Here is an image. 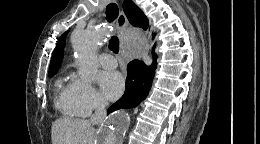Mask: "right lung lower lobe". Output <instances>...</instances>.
I'll return each mask as SVG.
<instances>
[{
  "mask_svg": "<svg viewBox=\"0 0 260 144\" xmlns=\"http://www.w3.org/2000/svg\"><path fill=\"white\" fill-rule=\"evenodd\" d=\"M156 58L153 53L150 66L139 60L128 64L124 95L108 109V114L120 108L136 107L147 97L157 67Z\"/></svg>",
  "mask_w": 260,
  "mask_h": 144,
  "instance_id": "right-lung-lower-lobe-1",
  "label": "right lung lower lobe"
}]
</instances>
